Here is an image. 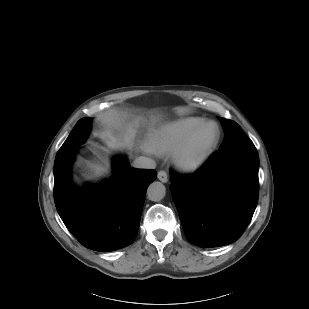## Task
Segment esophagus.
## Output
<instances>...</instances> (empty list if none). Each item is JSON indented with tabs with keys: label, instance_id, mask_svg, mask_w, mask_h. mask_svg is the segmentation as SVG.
Instances as JSON below:
<instances>
[{
	"label": "esophagus",
	"instance_id": "34e87169",
	"mask_svg": "<svg viewBox=\"0 0 309 309\" xmlns=\"http://www.w3.org/2000/svg\"><path fill=\"white\" fill-rule=\"evenodd\" d=\"M158 179L163 182L166 183L168 181V175L165 171L161 170L158 172L157 174Z\"/></svg>",
	"mask_w": 309,
	"mask_h": 309
}]
</instances>
